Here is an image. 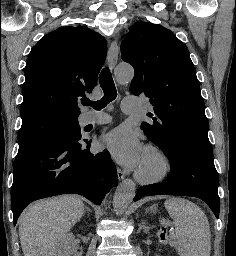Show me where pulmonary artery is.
Returning a JSON list of instances; mask_svg holds the SVG:
<instances>
[{"instance_id":"1","label":"pulmonary artery","mask_w":236,"mask_h":256,"mask_svg":"<svg viewBox=\"0 0 236 256\" xmlns=\"http://www.w3.org/2000/svg\"><path fill=\"white\" fill-rule=\"evenodd\" d=\"M137 100H138L137 96H125V101H123L124 107H122L123 115H134V111L135 109L138 108V105H139V102ZM109 122H110V119L105 118L100 120H88L86 121V124L102 125Z\"/></svg>"}]
</instances>
